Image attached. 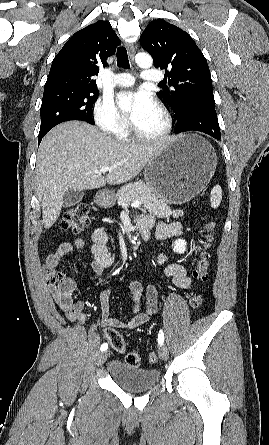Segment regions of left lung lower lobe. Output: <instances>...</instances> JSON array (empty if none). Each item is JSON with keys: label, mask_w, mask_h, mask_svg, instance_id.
<instances>
[{"label": "left lung lower lobe", "mask_w": 269, "mask_h": 445, "mask_svg": "<svg viewBox=\"0 0 269 445\" xmlns=\"http://www.w3.org/2000/svg\"><path fill=\"white\" fill-rule=\"evenodd\" d=\"M185 131H200L220 139V127L215 106L201 105L189 108L185 119L178 123L175 134Z\"/></svg>", "instance_id": "left-lung-lower-lobe-1"}]
</instances>
